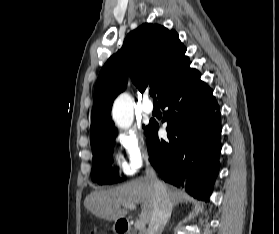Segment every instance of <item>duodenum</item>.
I'll list each match as a JSON object with an SVG mask.
<instances>
[{"label":"duodenum","mask_w":279,"mask_h":234,"mask_svg":"<svg viewBox=\"0 0 279 234\" xmlns=\"http://www.w3.org/2000/svg\"><path fill=\"white\" fill-rule=\"evenodd\" d=\"M116 230L119 234H128L130 228L127 222L121 220L117 224Z\"/></svg>","instance_id":"1"}]
</instances>
